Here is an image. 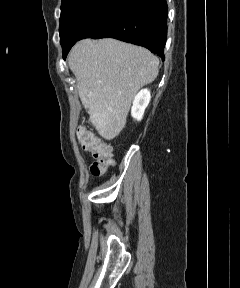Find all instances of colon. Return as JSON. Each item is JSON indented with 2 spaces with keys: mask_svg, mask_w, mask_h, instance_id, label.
<instances>
[{
  "mask_svg": "<svg viewBox=\"0 0 240 288\" xmlns=\"http://www.w3.org/2000/svg\"><path fill=\"white\" fill-rule=\"evenodd\" d=\"M77 137L83 149L91 152L95 158L90 167L91 174L94 177L102 176L114 163L111 147L83 128L78 129Z\"/></svg>",
  "mask_w": 240,
  "mask_h": 288,
  "instance_id": "5ec220e1",
  "label": "colon"
}]
</instances>
